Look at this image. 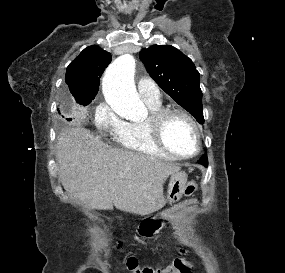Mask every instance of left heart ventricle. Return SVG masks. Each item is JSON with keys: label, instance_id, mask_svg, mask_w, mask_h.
<instances>
[{"label": "left heart ventricle", "instance_id": "1", "mask_svg": "<svg viewBox=\"0 0 285 273\" xmlns=\"http://www.w3.org/2000/svg\"><path fill=\"white\" fill-rule=\"evenodd\" d=\"M165 143L174 152L189 155L196 148V134L191 123L181 115L170 116L163 128Z\"/></svg>", "mask_w": 285, "mask_h": 273}]
</instances>
